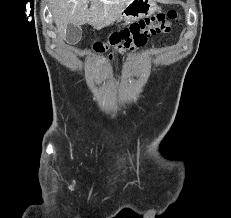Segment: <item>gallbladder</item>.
Instances as JSON below:
<instances>
[{"label": "gallbladder", "instance_id": "gallbladder-1", "mask_svg": "<svg viewBox=\"0 0 231 218\" xmlns=\"http://www.w3.org/2000/svg\"><path fill=\"white\" fill-rule=\"evenodd\" d=\"M82 29L80 26H75L73 24H68L66 30V40L68 43L76 44L81 40Z\"/></svg>", "mask_w": 231, "mask_h": 218}]
</instances>
